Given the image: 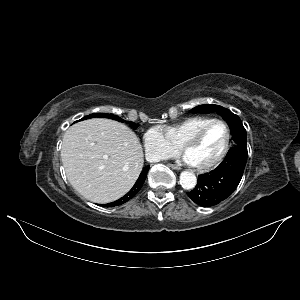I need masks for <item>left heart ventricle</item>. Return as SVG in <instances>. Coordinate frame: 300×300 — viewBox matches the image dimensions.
Segmentation results:
<instances>
[{
	"label": "left heart ventricle",
	"instance_id": "b2bd125f",
	"mask_svg": "<svg viewBox=\"0 0 300 300\" xmlns=\"http://www.w3.org/2000/svg\"><path fill=\"white\" fill-rule=\"evenodd\" d=\"M226 142V129L220 124L211 126L198 144L190 148L186 156L192 164L204 165L215 160Z\"/></svg>",
	"mask_w": 300,
	"mask_h": 300
}]
</instances>
